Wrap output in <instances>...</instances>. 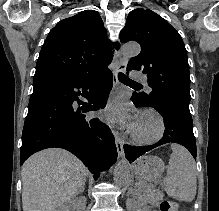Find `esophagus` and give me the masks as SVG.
Returning <instances> with one entry per match:
<instances>
[{
	"label": "esophagus",
	"mask_w": 219,
	"mask_h": 211,
	"mask_svg": "<svg viewBox=\"0 0 219 211\" xmlns=\"http://www.w3.org/2000/svg\"><path fill=\"white\" fill-rule=\"evenodd\" d=\"M127 63H128V60H126L125 58H121L119 61V65L113 70V88L114 89L116 88V86L119 83L118 82V74L120 72H124L126 70ZM113 135L115 138V144L117 147L118 156H119V158H121L124 156V148H123L124 140L121 137V135L119 134V132L116 130L113 131Z\"/></svg>",
	"instance_id": "34e87169"
}]
</instances>
